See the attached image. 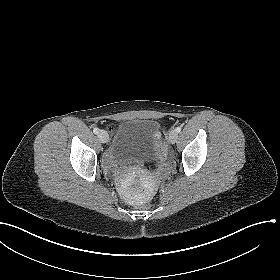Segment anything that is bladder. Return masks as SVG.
<instances>
[{"mask_svg":"<svg viewBox=\"0 0 280 280\" xmlns=\"http://www.w3.org/2000/svg\"><path fill=\"white\" fill-rule=\"evenodd\" d=\"M160 123L155 119L129 118L121 121L109 143L117 157L154 159L160 150Z\"/></svg>","mask_w":280,"mask_h":280,"instance_id":"1","label":"bladder"}]
</instances>
